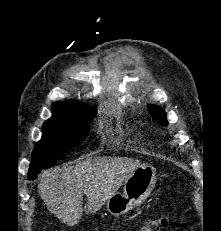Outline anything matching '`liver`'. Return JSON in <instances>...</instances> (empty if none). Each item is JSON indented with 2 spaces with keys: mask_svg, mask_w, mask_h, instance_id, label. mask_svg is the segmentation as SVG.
<instances>
[{
  "mask_svg": "<svg viewBox=\"0 0 221 231\" xmlns=\"http://www.w3.org/2000/svg\"><path fill=\"white\" fill-rule=\"evenodd\" d=\"M139 166V160L127 157L89 158L74 166L45 171L38 191L51 213L74 226L83 213V194L88 211L95 213Z\"/></svg>",
  "mask_w": 221,
  "mask_h": 231,
  "instance_id": "obj_1",
  "label": "liver"
}]
</instances>
